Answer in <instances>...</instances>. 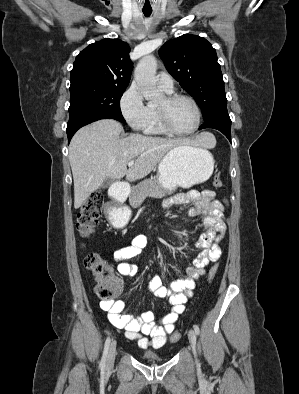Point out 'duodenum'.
<instances>
[{
  "label": "duodenum",
  "mask_w": 299,
  "mask_h": 394,
  "mask_svg": "<svg viewBox=\"0 0 299 394\" xmlns=\"http://www.w3.org/2000/svg\"><path fill=\"white\" fill-rule=\"evenodd\" d=\"M127 192L128 188L124 184H119L111 189L110 196L112 198V201L106 206V216L109 221H117L119 203L124 201Z\"/></svg>",
  "instance_id": "duodenum-1"
}]
</instances>
